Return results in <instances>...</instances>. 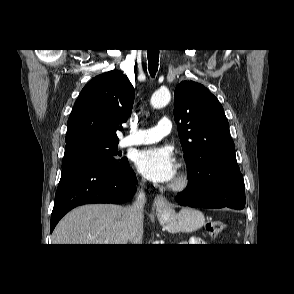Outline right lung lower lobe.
Returning a JSON list of instances; mask_svg holds the SVG:
<instances>
[{"label": "right lung lower lobe", "instance_id": "right-lung-lower-lobe-1", "mask_svg": "<svg viewBox=\"0 0 294 294\" xmlns=\"http://www.w3.org/2000/svg\"><path fill=\"white\" fill-rule=\"evenodd\" d=\"M136 176L129 163L104 166L82 163L62 169L51 215L50 231L76 206L89 203L127 202L135 193Z\"/></svg>", "mask_w": 294, "mask_h": 294}]
</instances>
